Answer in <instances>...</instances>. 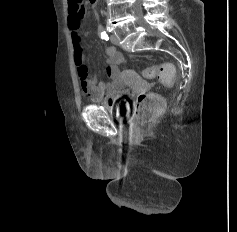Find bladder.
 I'll list each match as a JSON object with an SVG mask.
<instances>
[{
    "label": "bladder",
    "instance_id": "31cf9c89",
    "mask_svg": "<svg viewBox=\"0 0 237 232\" xmlns=\"http://www.w3.org/2000/svg\"><path fill=\"white\" fill-rule=\"evenodd\" d=\"M128 95V91L124 90L121 93V98L116 101L114 104L108 105L106 103H102V106L108 110H112L116 117L122 118L125 117L128 113L130 102L126 98Z\"/></svg>",
    "mask_w": 237,
    "mask_h": 232
}]
</instances>
